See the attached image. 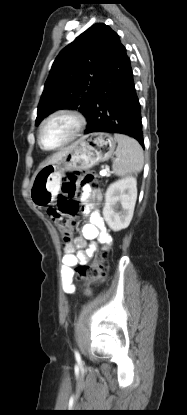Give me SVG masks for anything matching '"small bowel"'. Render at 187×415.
<instances>
[{
	"instance_id": "obj_1",
	"label": "small bowel",
	"mask_w": 187,
	"mask_h": 415,
	"mask_svg": "<svg viewBox=\"0 0 187 415\" xmlns=\"http://www.w3.org/2000/svg\"><path fill=\"white\" fill-rule=\"evenodd\" d=\"M81 200L83 202L82 214L89 217V222L83 225L81 235L77 236L73 242L65 244V254L62 257L61 278L62 289L66 294H73L75 286L73 284L74 267L85 265L97 250L94 240L110 245L112 237L105 227L99 207L103 201V194L100 189L90 186H82ZM87 241H92L87 246Z\"/></svg>"
}]
</instances>
